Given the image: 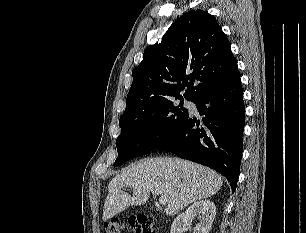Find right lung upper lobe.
<instances>
[{
  "label": "right lung upper lobe",
  "instance_id": "1",
  "mask_svg": "<svg viewBox=\"0 0 306 233\" xmlns=\"http://www.w3.org/2000/svg\"><path fill=\"white\" fill-rule=\"evenodd\" d=\"M238 72L230 43L208 12L191 10L149 46L133 69V83L123 115L162 100L196 102ZM122 115V116H123Z\"/></svg>",
  "mask_w": 306,
  "mask_h": 233
}]
</instances>
